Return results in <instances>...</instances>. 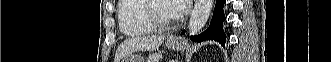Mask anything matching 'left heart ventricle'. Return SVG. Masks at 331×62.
<instances>
[{
  "label": "left heart ventricle",
  "instance_id": "1",
  "mask_svg": "<svg viewBox=\"0 0 331 62\" xmlns=\"http://www.w3.org/2000/svg\"><path fill=\"white\" fill-rule=\"evenodd\" d=\"M156 13L163 20H172L175 16L172 14L170 4L168 1H157L155 3Z\"/></svg>",
  "mask_w": 331,
  "mask_h": 62
}]
</instances>
